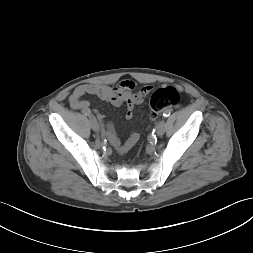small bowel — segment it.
<instances>
[{
    "mask_svg": "<svg viewBox=\"0 0 253 253\" xmlns=\"http://www.w3.org/2000/svg\"><path fill=\"white\" fill-rule=\"evenodd\" d=\"M135 83L131 80H123L117 86L113 87L105 84H82L74 89L69 97L70 107L74 110H79L86 113L90 110V103L83 99L84 95H96L102 100H105L115 106H120L123 103L127 104L125 117L131 119L133 117V109L135 105L141 104L145 97L152 91V86H143L138 92H133ZM102 121L103 116L98 115ZM114 148L120 153L128 151L138 140L139 136L136 132L130 134L127 140L121 144L119 138L112 132H104Z\"/></svg>",
    "mask_w": 253,
    "mask_h": 253,
    "instance_id": "c3829d8e",
    "label": "small bowel"
}]
</instances>
